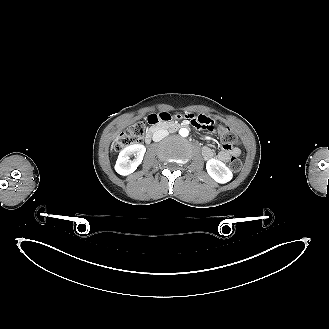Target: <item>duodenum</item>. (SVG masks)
<instances>
[{"instance_id": "obj_1", "label": "duodenum", "mask_w": 329, "mask_h": 329, "mask_svg": "<svg viewBox=\"0 0 329 329\" xmlns=\"http://www.w3.org/2000/svg\"><path fill=\"white\" fill-rule=\"evenodd\" d=\"M149 122L151 124L149 130L146 132L144 141L145 143L149 144L152 140L153 133L161 128H179L181 127L180 124L173 123L169 121V119L165 116H163L161 113L159 114H153L149 117Z\"/></svg>"}]
</instances>
